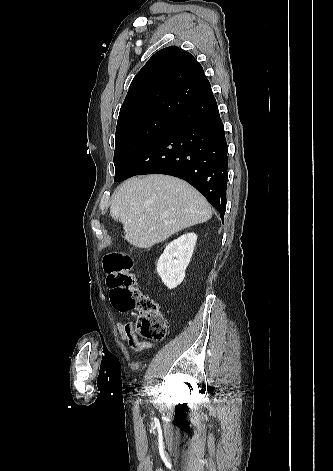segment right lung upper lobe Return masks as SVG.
Listing matches in <instances>:
<instances>
[{"label": "right lung upper lobe", "instance_id": "right-lung-upper-lobe-1", "mask_svg": "<svg viewBox=\"0 0 333 471\" xmlns=\"http://www.w3.org/2000/svg\"><path fill=\"white\" fill-rule=\"evenodd\" d=\"M211 90L202 66L185 50L156 52L132 80L119 118L142 113L177 116Z\"/></svg>", "mask_w": 333, "mask_h": 471}]
</instances>
